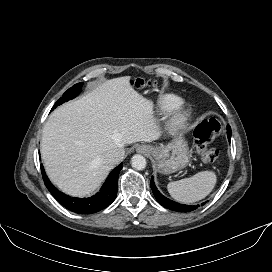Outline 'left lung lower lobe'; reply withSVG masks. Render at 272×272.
<instances>
[{
  "label": "left lung lower lobe",
  "instance_id": "0a47b994",
  "mask_svg": "<svg viewBox=\"0 0 272 272\" xmlns=\"http://www.w3.org/2000/svg\"><path fill=\"white\" fill-rule=\"evenodd\" d=\"M228 139L229 141H231V128L230 126H228ZM150 185H151V189L152 192L156 198V200L165 208L173 210V211H178V212H191L194 211L198 208V205L192 206V205H182L179 203H176L172 200H169L168 198H166L165 196H163L156 188L155 183L153 181V177L151 178L150 181ZM205 204V203H203Z\"/></svg>",
  "mask_w": 272,
  "mask_h": 272
}]
</instances>
